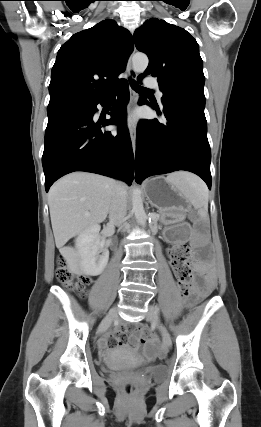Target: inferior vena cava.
Returning a JSON list of instances; mask_svg holds the SVG:
<instances>
[{"instance_id":"obj_1","label":"inferior vena cava","mask_w":261,"mask_h":427,"mask_svg":"<svg viewBox=\"0 0 261 427\" xmlns=\"http://www.w3.org/2000/svg\"><path fill=\"white\" fill-rule=\"evenodd\" d=\"M127 213V191L122 183L116 182L109 208L110 223L122 226Z\"/></svg>"}]
</instances>
